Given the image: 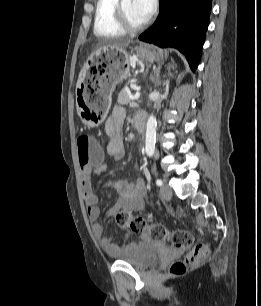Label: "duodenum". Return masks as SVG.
Masks as SVG:
<instances>
[{
  "instance_id": "410a0bca",
  "label": "duodenum",
  "mask_w": 261,
  "mask_h": 306,
  "mask_svg": "<svg viewBox=\"0 0 261 306\" xmlns=\"http://www.w3.org/2000/svg\"><path fill=\"white\" fill-rule=\"evenodd\" d=\"M134 122V126L136 127L138 133H139V137L142 140L144 137V128H145V124H146V114L144 113H138L134 116L133 119Z\"/></svg>"
}]
</instances>
